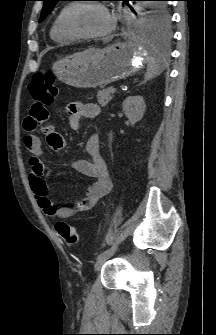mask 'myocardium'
<instances>
[{
  "label": "myocardium",
  "mask_w": 216,
  "mask_h": 335,
  "mask_svg": "<svg viewBox=\"0 0 216 335\" xmlns=\"http://www.w3.org/2000/svg\"><path fill=\"white\" fill-rule=\"evenodd\" d=\"M83 5H95L101 8L110 20L109 27L105 31L96 33H82L74 30L70 25V16L76 8ZM60 26L63 33L72 39H98L109 35L115 29L116 20L115 17L110 13L108 8L101 2L98 1L73 2L66 8L64 13L62 14L60 20Z\"/></svg>",
  "instance_id": "obj_1"
}]
</instances>
